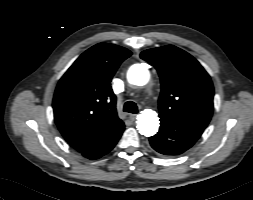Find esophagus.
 <instances>
[{
  "mask_svg": "<svg viewBox=\"0 0 253 200\" xmlns=\"http://www.w3.org/2000/svg\"><path fill=\"white\" fill-rule=\"evenodd\" d=\"M129 117L132 121H134L137 117V114H130Z\"/></svg>",
  "mask_w": 253,
  "mask_h": 200,
  "instance_id": "1",
  "label": "esophagus"
}]
</instances>
